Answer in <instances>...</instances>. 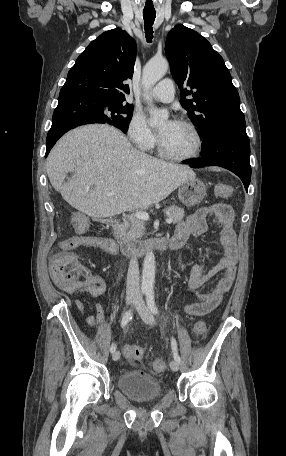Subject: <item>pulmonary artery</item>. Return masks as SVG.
Segmentation results:
<instances>
[{
    "mask_svg": "<svg viewBox=\"0 0 286 456\" xmlns=\"http://www.w3.org/2000/svg\"><path fill=\"white\" fill-rule=\"evenodd\" d=\"M150 94L160 102L169 103L175 96V86L171 79L165 78L151 89Z\"/></svg>",
    "mask_w": 286,
    "mask_h": 456,
    "instance_id": "1",
    "label": "pulmonary artery"
}]
</instances>
